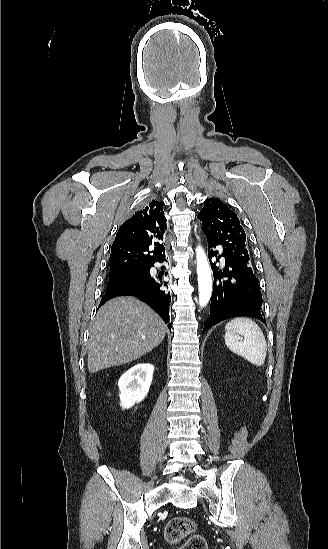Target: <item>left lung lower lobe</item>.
Returning a JSON list of instances; mask_svg holds the SVG:
<instances>
[{
  "label": "left lung lower lobe",
  "instance_id": "0a47b994",
  "mask_svg": "<svg viewBox=\"0 0 328 549\" xmlns=\"http://www.w3.org/2000/svg\"><path fill=\"white\" fill-rule=\"evenodd\" d=\"M212 247L209 245V248ZM217 253L213 250L208 251L215 281L210 316L204 323V329L224 319L242 316L257 318L265 323L261 310L262 295L252 269L223 253L225 268L222 271L215 263L211 262L212 257ZM222 276L226 279H223Z\"/></svg>",
  "mask_w": 328,
  "mask_h": 549
}]
</instances>
